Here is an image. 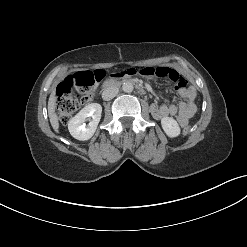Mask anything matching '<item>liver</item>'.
I'll list each match as a JSON object with an SVG mask.
<instances>
[{
	"label": "liver",
	"mask_w": 247,
	"mask_h": 247,
	"mask_svg": "<svg viewBox=\"0 0 247 247\" xmlns=\"http://www.w3.org/2000/svg\"><path fill=\"white\" fill-rule=\"evenodd\" d=\"M56 97L54 90L52 91L49 100H48V115L50 119V123L56 133L59 132V122H58V116L55 113V107H56Z\"/></svg>",
	"instance_id": "liver-1"
}]
</instances>
